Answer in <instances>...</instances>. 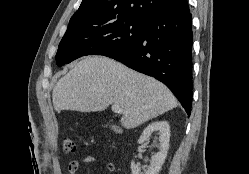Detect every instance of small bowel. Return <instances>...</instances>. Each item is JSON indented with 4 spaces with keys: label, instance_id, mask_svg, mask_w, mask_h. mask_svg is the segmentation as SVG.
<instances>
[{
    "label": "small bowel",
    "instance_id": "c3829d8e",
    "mask_svg": "<svg viewBox=\"0 0 249 174\" xmlns=\"http://www.w3.org/2000/svg\"><path fill=\"white\" fill-rule=\"evenodd\" d=\"M91 163H104L109 172L115 171V166L111 162L105 161L103 158L96 155H88L83 157L81 160H72L68 164V174H78L81 164H91Z\"/></svg>",
    "mask_w": 249,
    "mask_h": 174
}]
</instances>
